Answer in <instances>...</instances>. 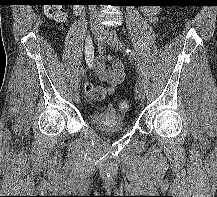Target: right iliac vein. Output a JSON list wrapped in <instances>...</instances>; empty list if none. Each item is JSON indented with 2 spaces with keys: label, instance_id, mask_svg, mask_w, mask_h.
<instances>
[{
  "label": "right iliac vein",
  "instance_id": "obj_1",
  "mask_svg": "<svg viewBox=\"0 0 217 197\" xmlns=\"http://www.w3.org/2000/svg\"><path fill=\"white\" fill-rule=\"evenodd\" d=\"M92 33L94 35L95 38H99L101 36V29L98 28V27H93L92 28ZM73 99L76 103H78L80 101V94L79 92H75L74 95H73Z\"/></svg>",
  "mask_w": 217,
  "mask_h": 197
}]
</instances>
